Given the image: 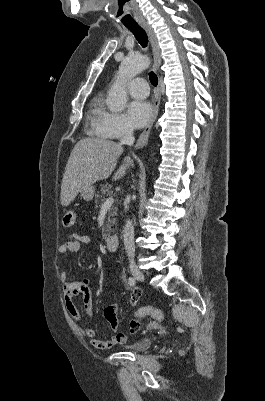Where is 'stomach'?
Segmentation results:
<instances>
[{
	"label": "stomach",
	"instance_id": "0dacf381",
	"mask_svg": "<svg viewBox=\"0 0 265 401\" xmlns=\"http://www.w3.org/2000/svg\"><path fill=\"white\" fill-rule=\"evenodd\" d=\"M94 192H95L94 186H92V184H89L87 188H82V190H80V196L84 198V201H92Z\"/></svg>",
	"mask_w": 265,
	"mask_h": 401
}]
</instances>
